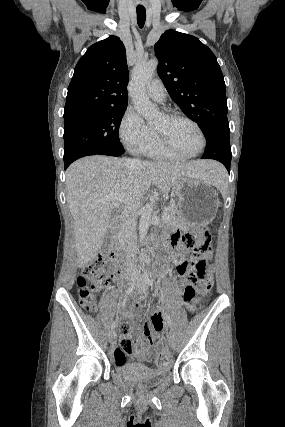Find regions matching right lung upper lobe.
Masks as SVG:
<instances>
[{
  "instance_id": "obj_1",
  "label": "right lung upper lobe",
  "mask_w": 285,
  "mask_h": 427,
  "mask_svg": "<svg viewBox=\"0 0 285 427\" xmlns=\"http://www.w3.org/2000/svg\"><path fill=\"white\" fill-rule=\"evenodd\" d=\"M129 80L123 42L117 36L90 46L68 87L64 119L109 108H127Z\"/></svg>"
}]
</instances>
